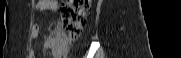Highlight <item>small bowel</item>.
Here are the masks:
<instances>
[{
    "label": "small bowel",
    "instance_id": "1",
    "mask_svg": "<svg viewBox=\"0 0 181 58\" xmlns=\"http://www.w3.org/2000/svg\"><path fill=\"white\" fill-rule=\"evenodd\" d=\"M59 3L57 0H38L35 3V13L40 15L46 11H56L58 9ZM40 33L39 26H34L33 37L37 38ZM48 42V41H47ZM47 42L45 46H47Z\"/></svg>",
    "mask_w": 181,
    "mask_h": 58
}]
</instances>
